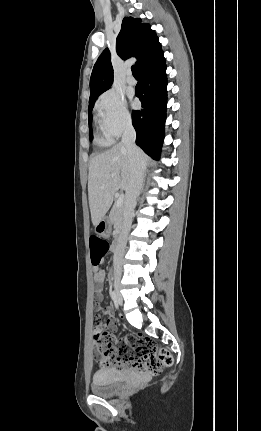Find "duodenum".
I'll return each mask as SVG.
<instances>
[{
	"label": "duodenum",
	"instance_id": "duodenum-1",
	"mask_svg": "<svg viewBox=\"0 0 261 431\" xmlns=\"http://www.w3.org/2000/svg\"><path fill=\"white\" fill-rule=\"evenodd\" d=\"M118 247H119V239H117V240L114 242V244H113V248H114V250H117V249H118Z\"/></svg>",
	"mask_w": 261,
	"mask_h": 431
}]
</instances>
